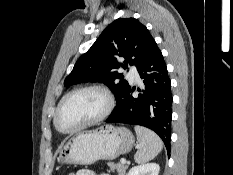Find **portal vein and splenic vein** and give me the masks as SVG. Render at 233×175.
Instances as JSON below:
<instances>
[{
  "label": "portal vein and splenic vein",
  "instance_id": "obj_1",
  "mask_svg": "<svg viewBox=\"0 0 233 175\" xmlns=\"http://www.w3.org/2000/svg\"><path fill=\"white\" fill-rule=\"evenodd\" d=\"M120 162H121V164H126V160L125 159H121Z\"/></svg>",
  "mask_w": 233,
  "mask_h": 175
}]
</instances>
